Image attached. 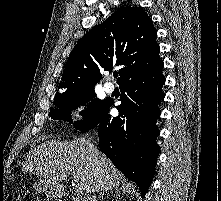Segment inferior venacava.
Wrapping results in <instances>:
<instances>
[{
    "instance_id": "602c4592",
    "label": "inferior vena cava",
    "mask_w": 221,
    "mask_h": 201,
    "mask_svg": "<svg viewBox=\"0 0 221 201\" xmlns=\"http://www.w3.org/2000/svg\"><path fill=\"white\" fill-rule=\"evenodd\" d=\"M90 201H97L95 194L92 196V198H90Z\"/></svg>"
}]
</instances>
